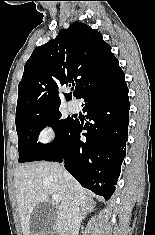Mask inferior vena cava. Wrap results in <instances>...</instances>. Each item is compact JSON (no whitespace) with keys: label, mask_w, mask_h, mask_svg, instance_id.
I'll use <instances>...</instances> for the list:
<instances>
[{"label":"inferior vena cava","mask_w":155,"mask_h":235,"mask_svg":"<svg viewBox=\"0 0 155 235\" xmlns=\"http://www.w3.org/2000/svg\"><path fill=\"white\" fill-rule=\"evenodd\" d=\"M65 176H69L68 172L64 171ZM69 189L71 190V185L69 184ZM74 196L72 191L70 192L71 204L67 213V234L66 235H78L79 226L82 220L79 206L74 201Z\"/></svg>","instance_id":"602c4592"}]
</instances>
